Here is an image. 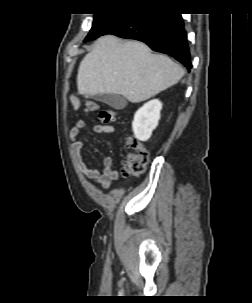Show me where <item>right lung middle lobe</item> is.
<instances>
[{
    "instance_id": "right-lung-middle-lobe-1",
    "label": "right lung middle lobe",
    "mask_w": 252,
    "mask_h": 303,
    "mask_svg": "<svg viewBox=\"0 0 252 303\" xmlns=\"http://www.w3.org/2000/svg\"><path fill=\"white\" fill-rule=\"evenodd\" d=\"M121 14L122 13L95 14L92 28L84 42L94 40L103 35Z\"/></svg>"
}]
</instances>
